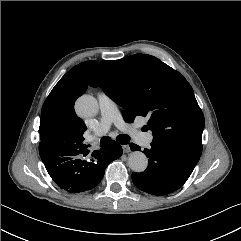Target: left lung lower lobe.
Instances as JSON below:
<instances>
[{
	"label": "left lung lower lobe",
	"instance_id": "obj_1",
	"mask_svg": "<svg viewBox=\"0 0 241 241\" xmlns=\"http://www.w3.org/2000/svg\"><path fill=\"white\" fill-rule=\"evenodd\" d=\"M131 150H140L130 144ZM144 154L149 157L143 173H132V180L140 190L153 195H166L179 189L189 178L200 156L175 146L152 142Z\"/></svg>",
	"mask_w": 241,
	"mask_h": 241
}]
</instances>
